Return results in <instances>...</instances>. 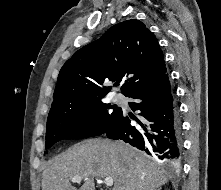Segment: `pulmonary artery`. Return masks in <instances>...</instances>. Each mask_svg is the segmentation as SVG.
<instances>
[{
	"instance_id": "obj_1",
	"label": "pulmonary artery",
	"mask_w": 221,
	"mask_h": 190,
	"mask_svg": "<svg viewBox=\"0 0 221 190\" xmlns=\"http://www.w3.org/2000/svg\"><path fill=\"white\" fill-rule=\"evenodd\" d=\"M115 100L118 102H123L124 101V96L121 93L115 94Z\"/></svg>"
}]
</instances>
